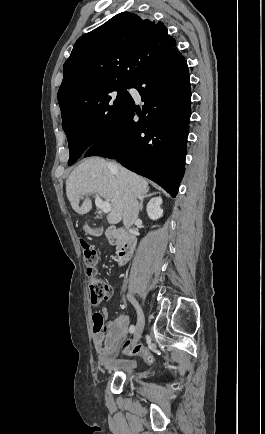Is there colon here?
Here are the masks:
<instances>
[{
  "instance_id": "5ec220e1",
  "label": "colon",
  "mask_w": 265,
  "mask_h": 434,
  "mask_svg": "<svg viewBox=\"0 0 265 434\" xmlns=\"http://www.w3.org/2000/svg\"><path fill=\"white\" fill-rule=\"evenodd\" d=\"M79 245L83 253L84 264L90 269L88 273L89 298L93 305H99L111 298L113 288L111 284L105 282L94 273L93 269L99 263L98 251L95 247L83 239L80 240ZM91 324L92 327H96V332L102 330L106 324L104 314H93ZM124 349L129 350L134 355H142L148 363L154 362L153 356L141 344L131 345L130 342H127L124 345Z\"/></svg>"
}]
</instances>
